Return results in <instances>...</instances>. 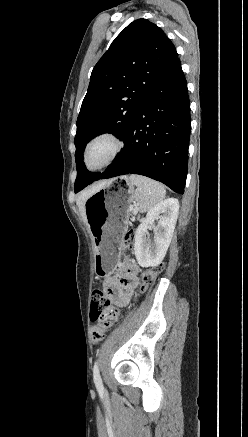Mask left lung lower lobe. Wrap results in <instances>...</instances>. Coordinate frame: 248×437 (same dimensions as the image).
<instances>
[{
  "mask_svg": "<svg viewBox=\"0 0 248 437\" xmlns=\"http://www.w3.org/2000/svg\"><path fill=\"white\" fill-rule=\"evenodd\" d=\"M190 129L187 82L177 58L135 114L123 151L96 180L140 174L183 194Z\"/></svg>",
  "mask_w": 248,
  "mask_h": 437,
  "instance_id": "obj_1",
  "label": "left lung lower lobe"
}]
</instances>
